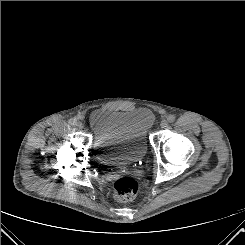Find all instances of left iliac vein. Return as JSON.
Listing matches in <instances>:
<instances>
[{"label":"left iliac vein","instance_id":"obj_1","mask_svg":"<svg viewBox=\"0 0 245 245\" xmlns=\"http://www.w3.org/2000/svg\"><path fill=\"white\" fill-rule=\"evenodd\" d=\"M167 126H168V121L165 120V119H163V120L161 121V123H160V127H161V128H166Z\"/></svg>","mask_w":245,"mask_h":245}]
</instances>
